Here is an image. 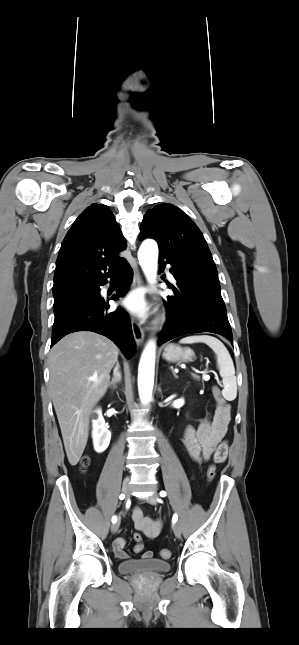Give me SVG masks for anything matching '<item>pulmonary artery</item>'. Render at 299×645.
Returning <instances> with one entry per match:
<instances>
[{
    "mask_svg": "<svg viewBox=\"0 0 299 645\" xmlns=\"http://www.w3.org/2000/svg\"><path fill=\"white\" fill-rule=\"evenodd\" d=\"M167 274L170 279H173V275L170 272H168Z\"/></svg>",
    "mask_w": 299,
    "mask_h": 645,
    "instance_id": "pulmonary-artery-1",
    "label": "pulmonary artery"
}]
</instances>
